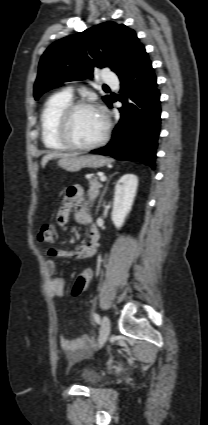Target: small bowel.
<instances>
[{
  "label": "small bowel",
  "mask_w": 208,
  "mask_h": 425,
  "mask_svg": "<svg viewBox=\"0 0 208 425\" xmlns=\"http://www.w3.org/2000/svg\"><path fill=\"white\" fill-rule=\"evenodd\" d=\"M83 194V188L80 185H73L67 188L57 215V222L61 226H66L72 210H75L74 219L77 223L91 225L88 239L84 243L77 245L75 249L51 250L49 251L50 255L58 258L83 260L92 257L96 253L99 233L92 224L93 220L87 210V204L83 198ZM46 272L49 294L55 298L63 297L65 283L61 277L56 275L57 264L54 260H48L46 262ZM89 344L90 338L88 335H83L76 339H68L64 336L60 338V346L71 360H77L82 357L86 353Z\"/></svg>",
  "instance_id": "obj_1"
}]
</instances>
